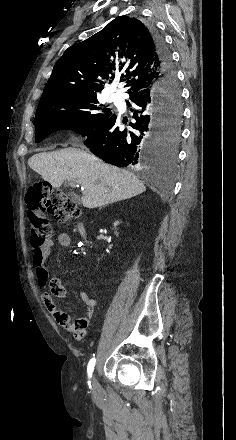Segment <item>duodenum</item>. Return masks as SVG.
I'll use <instances>...</instances> for the list:
<instances>
[{"mask_svg":"<svg viewBox=\"0 0 236 440\" xmlns=\"http://www.w3.org/2000/svg\"><path fill=\"white\" fill-rule=\"evenodd\" d=\"M78 230H79V233H80L82 236H86V230H85V227H84L82 224H79V226H78Z\"/></svg>","mask_w":236,"mask_h":440,"instance_id":"obj_1","label":"duodenum"}]
</instances>
